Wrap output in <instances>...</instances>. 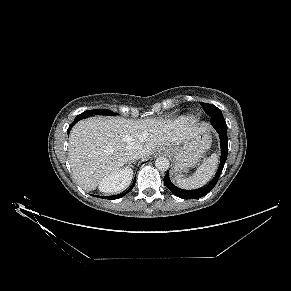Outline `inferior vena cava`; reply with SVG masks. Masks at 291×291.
I'll list each match as a JSON object with an SVG mask.
<instances>
[{"mask_svg": "<svg viewBox=\"0 0 291 291\" xmlns=\"http://www.w3.org/2000/svg\"><path fill=\"white\" fill-rule=\"evenodd\" d=\"M129 160H137L142 155V149L138 146L129 147L127 150Z\"/></svg>", "mask_w": 291, "mask_h": 291, "instance_id": "obj_1", "label": "inferior vena cava"}]
</instances>
